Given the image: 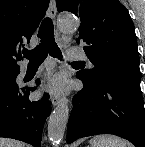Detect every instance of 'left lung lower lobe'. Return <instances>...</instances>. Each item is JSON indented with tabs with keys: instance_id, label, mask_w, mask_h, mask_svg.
Wrapping results in <instances>:
<instances>
[{
	"instance_id": "left-lung-lower-lobe-1",
	"label": "left lung lower lobe",
	"mask_w": 145,
	"mask_h": 147,
	"mask_svg": "<svg viewBox=\"0 0 145 147\" xmlns=\"http://www.w3.org/2000/svg\"><path fill=\"white\" fill-rule=\"evenodd\" d=\"M73 97L67 143L87 136L114 134L145 147V109L138 70H114L89 82Z\"/></svg>"
}]
</instances>
